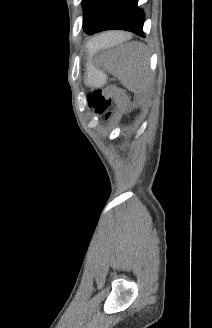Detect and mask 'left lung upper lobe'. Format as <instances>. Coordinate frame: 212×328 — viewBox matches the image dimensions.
Masks as SVG:
<instances>
[{
	"mask_svg": "<svg viewBox=\"0 0 212 328\" xmlns=\"http://www.w3.org/2000/svg\"><path fill=\"white\" fill-rule=\"evenodd\" d=\"M82 2L84 12L83 27L87 33L94 26L106 0H83Z\"/></svg>",
	"mask_w": 212,
	"mask_h": 328,
	"instance_id": "5c2ea615",
	"label": "left lung upper lobe"
}]
</instances>
